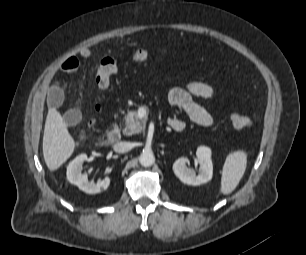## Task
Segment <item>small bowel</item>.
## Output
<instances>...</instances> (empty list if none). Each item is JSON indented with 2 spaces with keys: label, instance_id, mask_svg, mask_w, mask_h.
<instances>
[{
  "label": "small bowel",
  "instance_id": "obj_1",
  "mask_svg": "<svg viewBox=\"0 0 306 255\" xmlns=\"http://www.w3.org/2000/svg\"><path fill=\"white\" fill-rule=\"evenodd\" d=\"M80 57L88 59L91 56L89 49H82L79 53ZM79 60L76 56L65 58L59 70L63 73L71 74L78 70ZM48 86V103L50 107L57 108L63 102V91L59 81L56 79L55 73L48 75L46 79ZM215 97L214 88L202 81H190L183 87H176L168 93V103L172 107L182 109L188 118L194 123L210 127L215 120L203 106H201L195 98L213 99ZM81 114L76 109H70L64 114V119L68 125H75L79 122ZM168 125L176 130L181 131L185 128V122L180 118L173 116L168 119Z\"/></svg>",
  "mask_w": 306,
  "mask_h": 255
}]
</instances>
